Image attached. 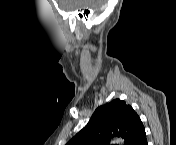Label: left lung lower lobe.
Segmentation results:
<instances>
[{
  "instance_id": "0a47b994",
  "label": "left lung lower lobe",
  "mask_w": 176,
  "mask_h": 145,
  "mask_svg": "<svg viewBox=\"0 0 176 145\" xmlns=\"http://www.w3.org/2000/svg\"><path fill=\"white\" fill-rule=\"evenodd\" d=\"M135 145H147L146 133L144 132Z\"/></svg>"
}]
</instances>
